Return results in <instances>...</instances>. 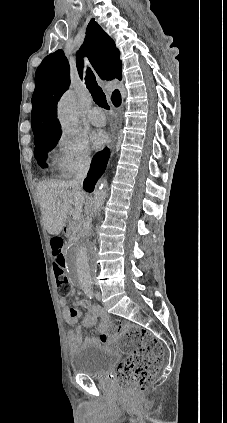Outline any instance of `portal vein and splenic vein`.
Masks as SVG:
<instances>
[{
    "label": "portal vein and splenic vein",
    "mask_w": 227,
    "mask_h": 423,
    "mask_svg": "<svg viewBox=\"0 0 227 423\" xmlns=\"http://www.w3.org/2000/svg\"><path fill=\"white\" fill-rule=\"evenodd\" d=\"M73 219H79L81 217V211L72 210Z\"/></svg>",
    "instance_id": "portal-vein-and-splenic-vein-1"
}]
</instances>
